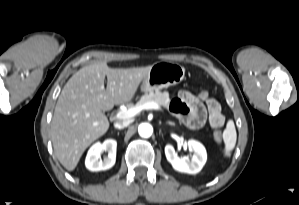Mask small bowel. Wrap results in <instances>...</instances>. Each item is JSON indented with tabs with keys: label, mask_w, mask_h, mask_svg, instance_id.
Returning a JSON list of instances; mask_svg holds the SVG:
<instances>
[{
	"label": "small bowel",
	"mask_w": 299,
	"mask_h": 205,
	"mask_svg": "<svg viewBox=\"0 0 299 205\" xmlns=\"http://www.w3.org/2000/svg\"><path fill=\"white\" fill-rule=\"evenodd\" d=\"M170 109L189 128H199L207 119L214 128H220L225 123L218 101L211 98L202 102L189 91L179 92Z\"/></svg>",
	"instance_id": "c3829d8e"
}]
</instances>
